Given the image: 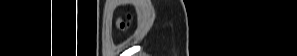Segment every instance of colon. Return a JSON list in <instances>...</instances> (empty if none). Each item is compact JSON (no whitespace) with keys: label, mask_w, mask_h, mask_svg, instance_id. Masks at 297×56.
<instances>
[{"label":"colon","mask_w":297,"mask_h":56,"mask_svg":"<svg viewBox=\"0 0 297 56\" xmlns=\"http://www.w3.org/2000/svg\"><path fill=\"white\" fill-rule=\"evenodd\" d=\"M126 23L124 22V21H119V26H120V28H122V29H124L125 27H126Z\"/></svg>","instance_id":"5ec220e1"}]
</instances>
